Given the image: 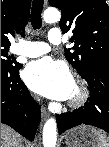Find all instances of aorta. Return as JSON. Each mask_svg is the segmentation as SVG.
Returning <instances> with one entry per match:
<instances>
[{
	"instance_id": "aorta-1",
	"label": "aorta",
	"mask_w": 109,
	"mask_h": 147,
	"mask_svg": "<svg viewBox=\"0 0 109 147\" xmlns=\"http://www.w3.org/2000/svg\"><path fill=\"white\" fill-rule=\"evenodd\" d=\"M44 21L46 23H55L61 19V13L57 8L50 7L45 10L43 14ZM57 124L54 118H50L46 121L43 128V146L55 147L57 140Z\"/></svg>"
}]
</instances>
